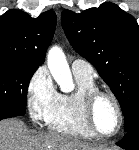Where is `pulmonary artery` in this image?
I'll list each match as a JSON object with an SVG mask.
<instances>
[{
    "mask_svg": "<svg viewBox=\"0 0 139 150\" xmlns=\"http://www.w3.org/2000/svg\"><path fill=\"white\" fill-rule=\"evenodd\" d=\"M71 68L74 76L93 79V67L87 61L76 59L72 62Z\"/></svg>",
    "mask_w": 139,
    "mask_h": 150,
    "instance_id": "1",
    "label": "pulmonary artery"
}]
</instances>
